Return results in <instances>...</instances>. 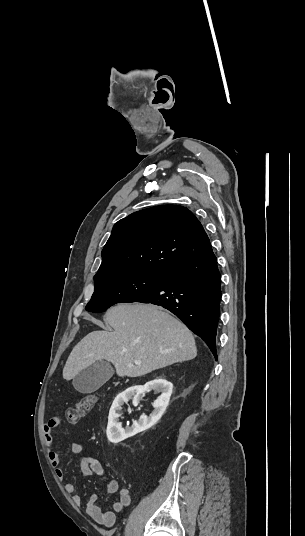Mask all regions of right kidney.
<instances>
[{"label":"right kidney","mask_w":305,"mask_h":536,"mask_svg":"<svg viewBox=\"0 0 305 536\" xmlns=\"http://www.w3.org/2000/svg\"><path fill=\"white\" fill-rule=\"evenodd\" d=\"M172 388L173 384H171V382H167L164 376H159L156 380L147 382L145 386H134V388H128L126 392L119 394L116 400H114L109 412L108 426L106 430L109 442L118 444V442H122V440H126V438H131V436L138 434V432H144V430H148V428L155 426L169 404ZM147 390H155V394L161 392V396H159V398L152 404L154 410L151 416H149V418L141 416L139 422H134L132 428H122L121 422H119L121 416L119 410H122L121 406H123L124 402H128L130 398L139 402V394H143V392H147Z\"/></svg>","instance_id":"obj_1"}]
</instances>
